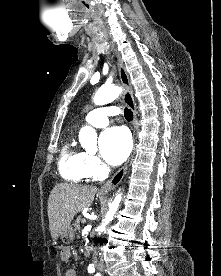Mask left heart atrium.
<instances>
[{
  "label": "left heart atrium",
  "instance_id": "1",
  "mask_svg": "<svg viewBox=\"0 0 221 276\" xmlns=\"http://www.w3.org/2000/svg\"><path fill=\"white\" fill-rule=\"evenodd\" d=\"M100 153L111 165H119L126 160L131 151V139L121 127L107 129L100 137Z\"/></svg>",
  "mask_w": 221,
  "mask_h": 276
}]
</instances>
